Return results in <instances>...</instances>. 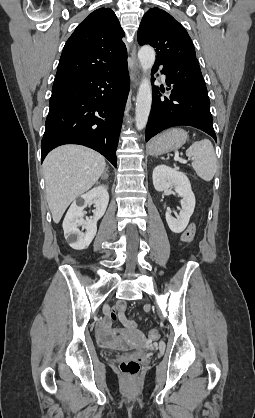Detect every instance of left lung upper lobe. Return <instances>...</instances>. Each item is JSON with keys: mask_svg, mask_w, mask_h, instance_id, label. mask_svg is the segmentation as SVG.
Returning a JSON list of instances; mask_svg holds the SVG:
<instances>
[{"mask_svg": "<svg viewBox=\"0 0 255 418\" xmlns=\"http://www.w3.org/2000/svg\"><path fill=\"white\" fill-rule=\"evenodd\" d=\"M138 43L155 48L156 62L196 59L193 42L185 28L159 8H151L143 16L138 29Z\"/></svg>", "mask_w": 255, "mask_h": 418, "instance_id": "5c2ea615", "label": "left lung upper lobe"}]
</instances>
